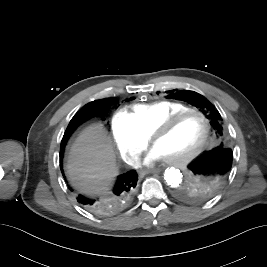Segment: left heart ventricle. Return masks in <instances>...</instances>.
I'll use <instances>...</instances> for the list:
<instances>
[{
    "instance_id": "obj_1",
    "label": "left heart ventricle",
    "mask_w": 267,
    "mask_h": 267,
    "mask_svg": "<svg viewBox=\"0 0 267 267\" xmlns=\"http://www.w3.org/2000/svg\"><path fill=\"white\" fill-rule=\"evenodd\" d=\"M204 135V123L197 115H188L176 123L166 134L154 142L166 159L183 156L200 143Z\"/></svg>"
}]
</instances>
